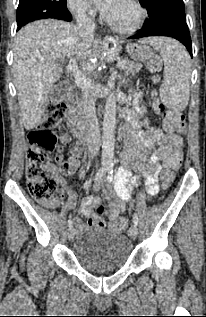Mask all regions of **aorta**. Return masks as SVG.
I'll use <instances>...</instances> for the list:
<instances>
[{"instance_id":"aorta-1","label":"aorta","mask_w":206,"mask_h":317,"mask_svg":"<svg viewBox=\"0 0 206 317\" xmlns=\"http://www.w3.org/2000/svg\"><path fill=\"white\" fill-rule=\"evenodd\" d=\"M114 88V85H111ZM116 127V97L110 93L107 98L104 110L103 135H102V165L113 166L114 145Z\"/></svg>"}]
</instances>
